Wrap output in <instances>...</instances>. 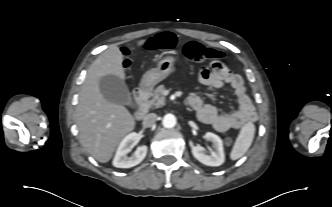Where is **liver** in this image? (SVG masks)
Here are the masks:
<instances>
[{"instance_id":"1","label":"liver","mask_w":332,"mask_h":207,"mask_svg":"<svg viewBox=\"0 0 332 207\" xmlns=\"http://www.w3.org/2000/svg\"><path fill=\"white\" fill-rule=\"evenodd\" d=\"M146 40L137 45L143 46ZM123 54L116 46L101 53L90 65L81 87L76 109L80 141L97 161L108 162L122 138L135 128L130 112L120 104L108 102L101 94L99 80L106 75L125 79Z\"/></svg>"}]
</instances>
